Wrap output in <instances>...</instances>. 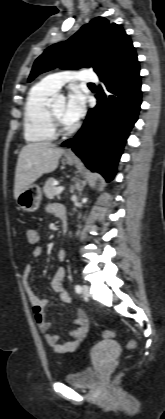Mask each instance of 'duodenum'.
Wrapping results in <instances>:
<instances>
[{
  "label": "duodenum",
  "instance_id": "410a0bca",
  "mask_svg": "<svg viewBox=\"0 0 165 419\" xmlns=\"http://www.w3.org/2000/svg\"><path fill=\"white\" fill-rule=\"evenodd\" d=\"M56 214L60 218L61 223H62L61 232L63 234H65L67 232V228H68L66 211L63 207H58L57 211H56Z\"/></svg>",
  "mask_w": 165,
  "mask_h": 419
}]
</instances>
